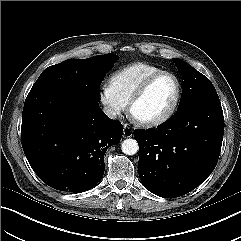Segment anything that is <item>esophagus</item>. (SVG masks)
<instances>
[{"label": "esophagus", "instance_id": "1", "mask_svg": "<svg viewBox=\"0 0 241 241\" xmlns=\"http://www.w3.org/2000/svg\"><path fill=\"white\" fill-rule=\"evenodd\" d=\"M132 135H133L132 128H130L128 125H124L123 137L129 138V137H132Z\"/></svg>", "mask_w": 241, "mask_h": 241}]
</instances>
